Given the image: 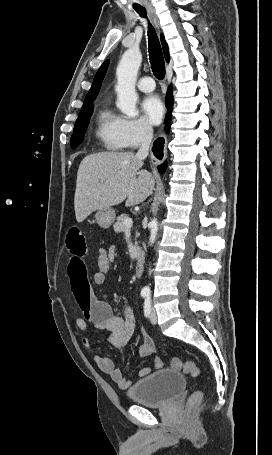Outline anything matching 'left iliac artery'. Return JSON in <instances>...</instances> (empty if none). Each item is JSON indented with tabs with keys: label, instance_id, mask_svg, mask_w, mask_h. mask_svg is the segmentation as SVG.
Returning a JSON list of instances; mask_svg holds the SVG:
<instances>
[{
	"label": "left iliac artery",
	"instance_id": "left-iliac-artery-1",
	"mask_svg": "<svg viewBox=\"0 0 272 455\" xmlns=\"http://www.w3.org/2000/svg\"><path fill=\"white\" fill-rule=\"evenodd\" d=\"M150 307H151V299L150 296H147L144 301V315L149 317L150 315Z\"/></svg>",
	"mask_w": 272,
	"mask_h": 455
}]
</instances>
